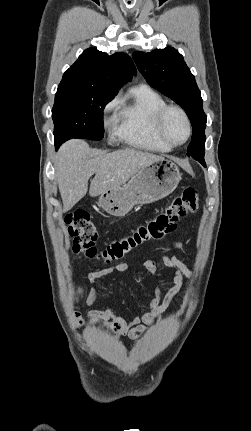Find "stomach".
Masks as SVG:
<instances>
[{
	"instance_id": "0dacf381",
	"label": "stomach",
	"mask_w": 251,
	"mask_h": 431,
	"mask_svg": "<svg viewBox=\"0 0 251 431\" xmlns=\"http://www.w3.org/2000/svg\"><path fill=\"white\" fill-rule=\"evenodd\" d=\"M181 180L178 166L169 159L143 167L127 184L100 194L99 206L115 217L125 216L135 205L159 201L171 194Z\"/></svg>"
}]
</instances>
